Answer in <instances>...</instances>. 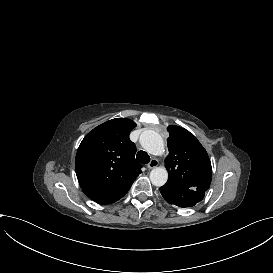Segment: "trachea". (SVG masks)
Returning a JSON list of instances; mask_svg holds the SVG:
<instances>
[{"label": "trachea", "instance_id": "3493384b", "mask_svg": "<svg viewBox=\"0 0 273 273\" xmlns=\"http://www.w3.org/2000/svg\"><path fill=\"white\" fill-rule=\"evenodd\" d=\"M136 159L141 164H147L150 161V156L145 151H139Z\"/></svg>", "mask_w": 273, "mask_h": 273}]
</instances>
